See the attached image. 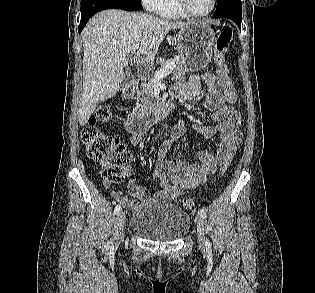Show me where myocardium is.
<instances>
[{"mask_svg": "<svg viewBox=\"0 0 315 293\" xmlns=\"http://www.w3.org/2000/svg\"><path fill=\"white\" fill-rule=\"evenodd\" d=\"M178 2H179V5H180L181 9H182L188 16H190V17H195V18H203V17H206V16L210 15V14L214 11V9H215V7H216V2H217V0H212L210 9H209L207 12L201 13V14L195 13L194 11H192V9H191L190 6H189L188 0H178Z\"/></svg>", "mask_w": 315, "mask_h": 293, "instance_id": "myocardium-1", "label": "myocardium"}]
</instances>
